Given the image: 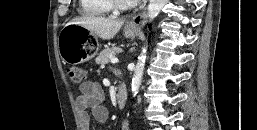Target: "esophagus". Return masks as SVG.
I'll return each mask as SVG.
<instances>
[{
	"instance_id": "1",
	"label": "esophagus",
	"mask_w": 257,
	"mask_h": 130,
	"mask_svg": "<svg viewBox=\"0 0 257 130\" xmlns=\"http://www.w3.org/2000/svg\"><path fill=\"white\" fill-rule=\"evenodd\" d=\"M147 21V11L146 9L137 15H135L129 22L130 27L136 28L143 25Z\"/></svg>"
}]
</instances>
